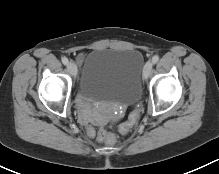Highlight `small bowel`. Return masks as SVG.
<instances>
[{
    "label": "small bowel",
    "instance_id": "1",
    "mask_svg": "<svg viewBox=\"0 0 219 174\" xmlns=\"http://www.w3.org/2000/svg\"><path fill=\"white\" fill-rule=\"evenodd\" d=\"M82 59H83V56L79 55L78 60L82 61ZM82 112H83V118L86 119V120L94 117L91 109L86 104L82 105Z\"/></svg>",
    "mask_w": 219,
    "mask_h": 174
}]
</instances>
